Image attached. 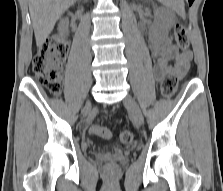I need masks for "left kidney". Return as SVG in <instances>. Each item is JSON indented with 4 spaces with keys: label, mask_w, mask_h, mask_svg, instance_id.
<instances>
[{
    "label": "left kidney",
    "mask_w": 223,
    "mask_h": 191,
    "mask_svg": "<svg viewBox=\"0 0 223 191\" xmlns=\"http://www.w3.org/2000/svg\"><path fill=\"white\" fill-rule=\"evenodd\" d=\"M173 24V17L166 11L157 10L155 13V22L150 31L154 37H161L168 34Z\"/></svg>",
    "instance_id": "left-kidney-1"
}]
</instances>
